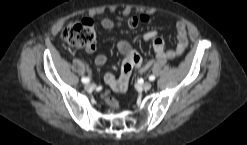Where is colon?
I'll list each match as a JSON object with an SVG mask.
<instances>
[{
	"label": "colon",
	"instance_id": "5ec220e1",
	"mask_svg": "<svg viewBox=\"0 0 247 145\" xmlns=\"http://www.w3.org/2000/svg\"><path fill=\"white\" fill-rule=\"evenodd\" d=\"M147 22L146 16L132 17L128 20L129 27H136ZM62 40L69 46L76 48H87L92 45L96 38L93 21L89 18H80L67 25L62 33ZM138 60L136 55L131 56L123 62L121 72L125 78L130 77V69L133 63Z\"/></svg>",
	"mask_w": 247,
	"mask_h": 145
}]
</instances>
